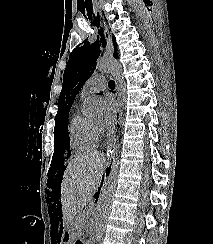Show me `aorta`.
<instances>
[{
    "label": "aorta",
    "mask_w": 213,
    "mask_h": 244,
    "mask_svg": "<svg viewBox=\"0 0 213 244\" xmlns=\"http://www.w3.org/2000/svg\"><path fill=\"white\" fill-rule=\"evenodd\" d=\"M96 70L102 73H110L116 78L121 77V65L112 57H103L97 61ZM103 101L96 96L87 99L85 105V114L90 117L100 116L103 113ZM119 171V159L116 152L114 156L110 174L104 183L100 196L96 203L94 211V243L101 244L105 230L106 222L112 207L113 195L116 190Z\"/></svg>",
    "instance_id": "1"
}]
</instances>
